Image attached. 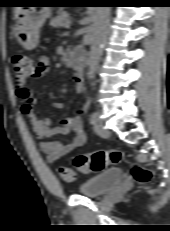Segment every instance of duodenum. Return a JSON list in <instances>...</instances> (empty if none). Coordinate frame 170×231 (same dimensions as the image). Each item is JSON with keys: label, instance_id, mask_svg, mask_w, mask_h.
Segmentation results:
<instances>
[{"label": "duodenum", "instance_id": "duodenum-1", "mask_svg": "<svg viewBox=\"0 0 170 231\" xmlns=\"http://www.w3.org/2000/svg\"><path fill=\"white\" fill-rule=\"evenodd\" d=\"M67 62L70 66L74 67L79 75L83 76L84 74V58L83 54L80 51H75L69 54Z\"/></svg>", "mask_w": 170, "mask_h": 231}]
</instances>
